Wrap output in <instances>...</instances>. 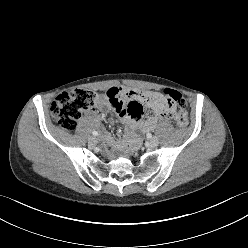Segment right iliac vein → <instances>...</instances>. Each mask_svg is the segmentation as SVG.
I'll list each match as a JSON object with an SVG mask.
<instances>
[{"instance_id": "obj_1", "label": "right iliac vein", "mask_w": 248, "mask_h": 248, "mask_svg": "<svg viewBox=\"0 0 248 248\" xmlns=\"http://www.w3.org/2000/svg\"><path fill=\"white\" fill-rule=\"evenodd\" d=\"M88 142H89L90 144H92V145H95V144L97 143V139H96L95 137H90V138L88 139Z\"/></svg>"}]
</instances>
